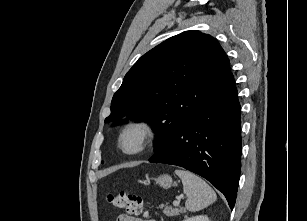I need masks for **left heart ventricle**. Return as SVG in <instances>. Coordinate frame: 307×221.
I'll use <instances>...</instances> for the list:
<instances>
[{
    "mask_svg": "<svg viewBox=\"0 0 307 221\" xmlns=\"http://www.w3.org/2000/svg\"><path fill=\"white\" fill-rule=\"evenodd\" d=\"M139 143V134L136 131L129 132L124 140L123 145L127 150L134 149Z\"/></svg>",
    "mask_w": 307,
    "mask_h": 221,
    "instance_id": "left-heart-ventricle-1",
    "label": "left heart ventricle"
}]
</instances>
